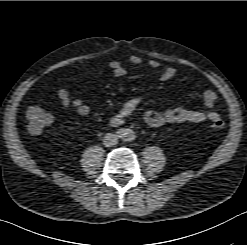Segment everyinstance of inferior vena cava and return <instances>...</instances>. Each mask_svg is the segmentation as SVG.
Masks as SVG:
<instances>
[{
    "mask_svg": "<svg viewBox=\"0 0 247 245\" xmlns=\"http://www.w3.org/2000/svg\"><path fill=\"white\" fill-rule=\"evenodd\" d=\"M106 147H112L118 143V135L114 133H107L103 141Z\"/></svg>",
    "mask_w": 247,
    "mask_h": 245,
    "instance_id": "602c4592",
    "label": "inferior vena cava"
}]
</instances>
